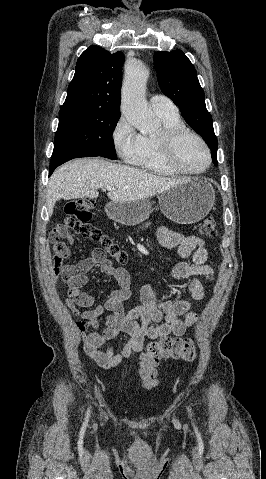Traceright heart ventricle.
I'll list each match as a JSON object with an SVG mask.
<instances>
[{"label":"right heart ventricle","instance_id":"obj_1","mask_svg":"<svg viewBox=\"0 0 266 479\" xmlns=\"http://www.w3.org/2000/svg\"><path fill=\"white\" fill-rule=\"evenodd\" d=\"M163 123L164 128L185 127L180 116L157 114ZM158 135L140 136V152L134 160V164L142 170L162 176H175L178 173L171 169L163 160L161 155Z\"/></svg>","mask_w":266,"mask_h":479}]
</instances>
